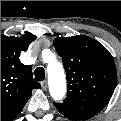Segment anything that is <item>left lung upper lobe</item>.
I'll use <instances>...</instances> for the list:
<instances>
[{
  "label": "left lung upper lobe",
  "instance_id": "1",
  "mask_svg": "<svg viewBox=\"0 0 121 121\" xmlns=\"http://www.w3.org/2000/svg\"><path fill=\"white\" fill-rule=\"evenodd\" d=\"M54 46L62 57L68 85L66 99L55 106L72 120L89 119L113 95L117 81L114 60L103 45L84 35L56 38Z\"/></svg>",
  "mask_w": 121,
  "mask_h": 121
}]
</instances>
